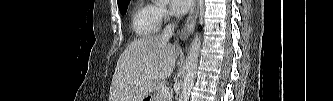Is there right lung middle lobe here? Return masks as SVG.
I'll return each instance as SVG.
<instances>
[{
	"label": "right lung middle lobe",
	"instance_id": "dd1d6c3e",
	"mask_svg": "<svg viewBox=\"0 0 333 101\" xmlns=\"http://www.w3.org/2000/svg\"><path fill=\"white\" fill-rule=\"evenodd\" d=\"M129 2H130V0H126V1L122 2L121 4H118V7H119V10H120V13H121L122 15L126 14L127 7H128Z\"/></svg>",
	"mask_w": 333,
	"mask_h": 101
}]
</instances>
